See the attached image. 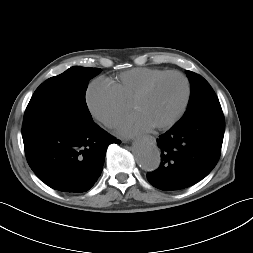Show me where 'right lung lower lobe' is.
<instances>
[{"label": "right lung lower lobe", "instance_id": "1", "mask_svg": "<svg viewBox=\"0 0 253 253\" xmlns=\"http://www.w3.org/2000/svg\"><path fill=\"white\" fill-rule=\"evenodd\" d=\"M33 172L62 192L88 191L99 178L107 147L120 141L92 121H61L23 138Z\"/></svg>", "mask_w": 253, "mask_h": 253}]
</instances>
